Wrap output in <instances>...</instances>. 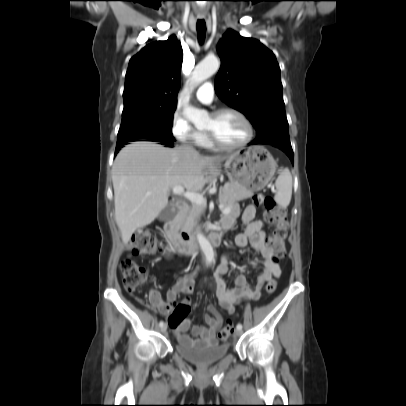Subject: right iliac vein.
I'll list each match as a JSON object with an SVG mask.
<instances>
[{
	"label": "right iliac vein",
	"mask_w": 406,
	"mask_h": 406,
	"mask_svg": "<svg viewBox=\"0 0 406 406\" xmlns=\"http://www.w3.org/2000/svg\"><path fill=\"white\" fill-rule=\"evenodd\" d=\"M166 330H167V325L166 324H164L162 327H161V332H166Z\"/></svg>",
	"instance_id": "right-iliac-vein-1"
}]
</instances>
